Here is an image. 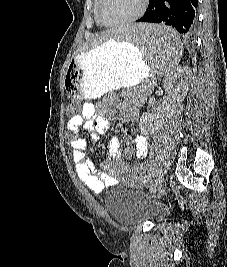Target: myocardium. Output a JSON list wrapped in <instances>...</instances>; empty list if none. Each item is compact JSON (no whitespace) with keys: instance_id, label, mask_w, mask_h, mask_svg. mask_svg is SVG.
I'll return each instance as SVG.
<instances>
[{"instance_id":"myocardium-1","label":"myocardium","mask_w":227,"mask_h":267,"mask_svg":"<svg viewBox=\"0 0 227 267\" xmlns=\"http://www.w3.org/2000/svg\"><path fill=\"white\" fill-rule=\"evenodd\" d=\"M103 2H104V0H99V3H98L99 18L101 19V21L104 24L109 25V26H114V25H123V24L132 23V22L138 20L139 18H141L143 16V14L145 13V11L147 10L149 0H141L140 8L135 14H133L129 18L118 20V21H108L105 18L104 14H103Z\"/></svg>"}]
</instances>
